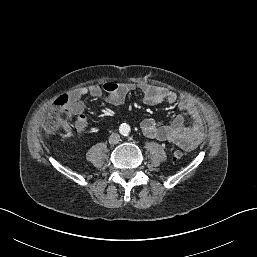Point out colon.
Returning <instances> with one entry per match:
<instances>
[{
	"mask_svg": "<svg viewBox=\"0 0 257 257\" xmlns=\"http://www.w3.org/2000/svg\"><path fill=\"white\" fill-rule=\"evenodd\" d=\"M69 103L70 98L67 94H63L57 97L50 105L42 121V127L47 135L53 134L59 128H62L66 132L70 130L68 123L71 117ZM184 154V151L176 150L173 153V161L177 162L181 160Z\"/></svg>",
	"mask_w": 257,
	"mask_h": 257,
	"instance_id": "obj_1",
	"label": "colon"
}]
</instances>
